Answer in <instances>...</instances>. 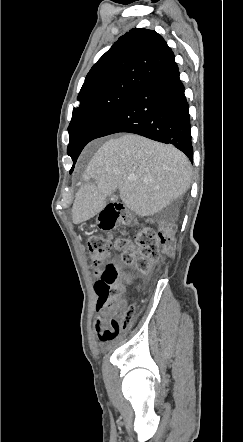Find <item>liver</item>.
Returning a JSON list of instances; mask_svg holds the SVG:
<instances>
[{"label": "liver", "instance_id": "liver-1", "mask_svg": "<svg viewBox=\"0 0 243 442\" xmlns=\"http://www.w3.org/2000/svg\"><path fill=\"white\" fill-rule=\"evenodd\" d=\"M132 175L137 178L130 180ZM191 177L190 161L173 146L134 134L111 138L97 150L84 172V184L72 207L73 223L99 214L116 189L127 208L141 217L152 216L182 196Z\"/></svg>", "mask_w": 243, "mask_h": 442}]
</instances>
